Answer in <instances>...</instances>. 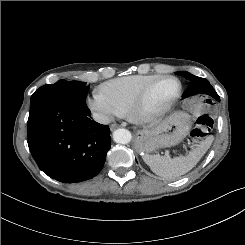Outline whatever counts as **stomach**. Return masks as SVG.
Masks as SVG:
<instances>
[{
	"instance_id": "obj_1",
	"label": "stomach",
	"mask_w": 245,
	"mask_h": 245,
	"mask_svg": "<svg viewBox=\"0 0 245 245\" xmlns=\"http://www.w3.org/2000/svg\"><path fill=\"white\" fill-rule=\"evenodd\" d=\"M191 129L190 116L176 112L148 128L139 130L135 145L138 152L151 153L159 148L171 147L181 142Z\"/></svg>"
}]
</instances>
